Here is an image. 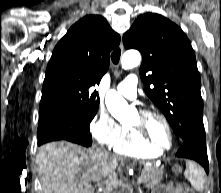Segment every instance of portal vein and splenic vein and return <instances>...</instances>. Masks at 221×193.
I'll list each match as a JSON object with an SVG mask.
<instances>
[{
    "mask_svg": "<svg viewBox=\"0 0 221 193\" xmlns=\"http://www.w3.org/2000/svg\"><path fill=\"white\" fill-rule=\"evenodd\" d=\"M144 180H145V176H140L137 178L138 183H142V182H144Z\"/></svg>",
    "mask_w": 221,
    "mask_h": 193,
    "instance_id": "portal-vein-and-splenic-vein-1",
    "label": "portal vein and splenic vein"
}]
</instances>
